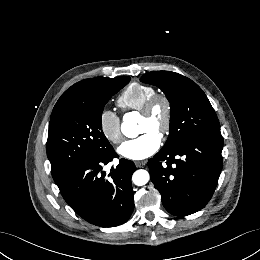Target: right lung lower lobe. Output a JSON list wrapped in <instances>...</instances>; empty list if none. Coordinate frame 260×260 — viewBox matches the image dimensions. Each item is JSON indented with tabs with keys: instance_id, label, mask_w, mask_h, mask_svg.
I'll use <instances>...</instances> for the list:
<instances>
[{
	"instance_id": "98d812e1",
	"label": "right lung lower lobe",
	"mask_w": 260,
	"mask_h": 260,
	"mask_svg": "<svg viewBox=\"0 0 260 260\" xmlns=\"http://www.w3.org/2000/svg\"><path fill=\"white\" fill-rule=\"evenodd\" d=\"M118 157L114 149L107 155L77 161L53 176L65 201L83 219L101 227L125 223L134 209L131 177L135 171L132 161L120 159L105 177L104 165Z\"/></svg>"
}]
</instances>
